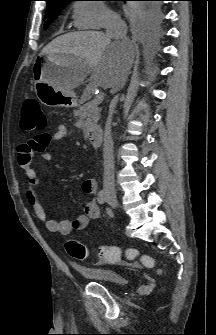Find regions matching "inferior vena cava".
<instances>
[{
    "mask_svg": "<svg viewBox=\"0 0 216 335\" xmlns=\"http://www.w3.org/2000/svg\"><path fill=\"white\" fill-rule=\"evenodd\" d=\"M127 25L126 23L116 14H112L107 19L106 23V35L115 40H126ZM129 71L128 69L123 70L119 77V86L123 87ZM118 101V95L115 96L112 102V109L107 117L104 138H103V158H104V178L103 187L105 190H115V179H114V156H113V140L111 136V122L113 117V111Z\"/></svg>",
    "mask_w": 216,
    "mask_h": 335,
    "instance_id": "602c4592",
    "label": "inferior vena cava"
}]
</instances>
